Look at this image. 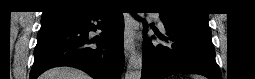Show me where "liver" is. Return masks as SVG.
<instances>
[{
  "instance_id": "1",
  "label": "liver",
  "mask_w": 255,
  "mask_h": 79,
  "mask_svg": "<svg viewBox=\"0 0 255 79\" xmlns=\"http://www.w3.org/2000/svg\"><path fill=\"white\" fill-rule=\"evenodd\" d=\"M40 79H91V77L76 68L57 67L46 71Z\"/></svg>"
}]
</instances>
